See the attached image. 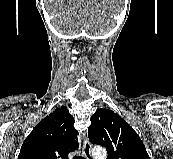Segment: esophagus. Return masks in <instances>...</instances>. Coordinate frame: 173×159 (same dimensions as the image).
<instances>
[{
  "label": "esophagus",
  "instance_id": "1",
  "mask_svg": "<svg viewBox=\"0 0 173 159\" xmlns=\"http://www.w3.org/2000/svg\"><path fill=\"white\" fill-rule=\"evenodd\" d=\"M83 153L86 159H93L91 155V143L88 138H83Z\"/></svg>",
  "mask_w": 173,
  "mask_h": 159
}]
</instances>
